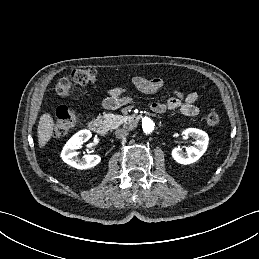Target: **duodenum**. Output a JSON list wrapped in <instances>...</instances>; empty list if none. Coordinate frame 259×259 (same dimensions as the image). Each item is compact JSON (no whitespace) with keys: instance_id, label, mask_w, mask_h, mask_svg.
Wrapping results in <instances>:
<instances>
[{"instance_id":"1","label":"duodenum","mask_w":259,"mask_h":259,"mask_svg":"<svg viewBox=\"0 0 259 259\" xmlns=\"http://www.w3.org/2000/svg\"><path fill=\"white\" fill-rule=\"evenodd\" d=\"M143 119L142 115L135 116L129 120V127H134L141 122ZM89 128L94 133L104 136L108 133V126L104 120L94 118L89 122Z\"/></svg>"}]
</instances>
